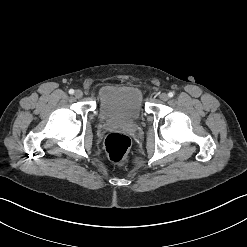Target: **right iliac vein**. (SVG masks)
<instances>
[{
  "mask_svg": "<svg viewBox=\"0 0 247 247\" xmlns=\"http://www.w3.org/2000/svg\"><path fill=\"white\" fill-rule=\"evenodd\" d=\"M74 96L79 99L83 96V92L81 90H76Z\"/></svg>",
  "mask_w": 247,
  "mask_h": 247,
  "instance_id": "1",
  "label": "right iliac vein"
}]
</instances>
